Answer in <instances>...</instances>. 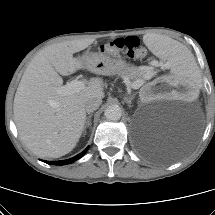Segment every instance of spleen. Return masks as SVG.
Here are the masks:
<instances>
[{"label":"spleen","mask_w":215,"mask_h":215,"mask_svg":"<svg viewBox=\"0 0 215 215\" xmlns=\"http://www.w3.org/2000/svg\"><path fill=\"white\" fill-rule=\"evenodd\" d=\"M144 44L154 54L171 63V71L178 73L185 81L190 83H197L199 81L198 62L192 58L190 50L181 47L179 43H172L165 38L157 40L153 35L146 36Z\"/></svg>","instance_id":"spleen-1"}]
</instances>
